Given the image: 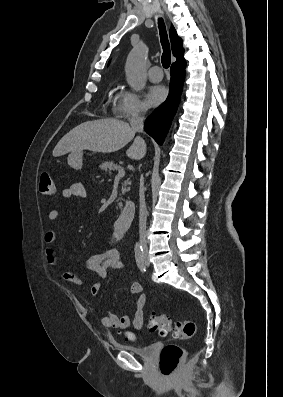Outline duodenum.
<instances>
[{
    "label": "duodenum",
    "mask_w": 283,
    "mask_h": 397,
    "mask_svg": "<svg viewBox=\"0 0 283 397\" xmlns=\"http://www.w3.org/2000/svg\"><path fill=\"white\" fill-rule=\"evenodd\" d=\"M134 213V203L132 201H127L121 214L114 223V229L118 234L122 235L129 229L134 217Z\"/></svg>",
    "instance_id": "duodenum-1"
}]
</instances>
